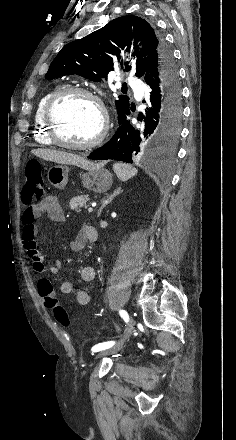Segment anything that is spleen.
<instances>
[{
  "label": "spleen",
  "mask_w": 236,
  "mask_h": 440,
  "mask_svg": "<svg viewBox=\"0 0 236 440\" xmlns=\"http://www.w3.org/2000/svg\"><path fill=\"white\" fill-rule=\"evenodd\" d=\"M113 170L121 181H127L138 173L135 167L126 163H114Z\"/></svg>",
  "instance_id": "obj_1"
}]
</instances>
